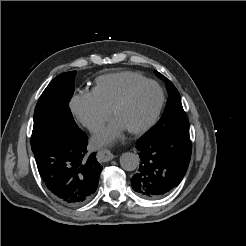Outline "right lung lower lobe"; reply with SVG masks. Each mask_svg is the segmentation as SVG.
Listing matches in <instances>:
<instances>
[{
  "label": "right lung lower lobe",
  "mask_w": 246,
  "mask_h": 246,
  "mask_svg": "<svg viewBox=\"0 0 246 246\" xmlns=\"http://www.w3.org/2000/svg\"><path fill=\"white\" fill-rule=\"evenodd\" d=\"M87 135L76 127L59 131L32 149L39 174L62 203L81 204L98 187L102 166L96 154L87 153Z\"/></svg>",
  "instance_id": "obj_1"
}]
</instances>
